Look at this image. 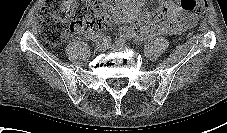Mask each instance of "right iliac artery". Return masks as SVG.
Returning a JSON list of instances; mask_svg holds the SVG:
<instances>
[{
  "mask_svg": "<svg viewBox=\"0 0 227 133\" xmlns=\"http://www.w3.org/2000/svg\"><path fill=\"white\" fill-rule=\"evenodd\" d=\"M103 43L108 46L111 43V39L109 37H105L103 38Z\"/></svg>",
  "mask_w": 227,
  "mask_h": 133,
  "instance_id": "1",
  "label": "right iliac artery"
}]
</instances>
